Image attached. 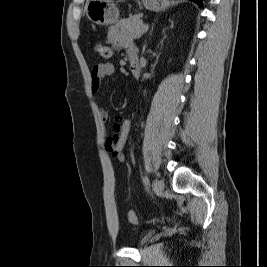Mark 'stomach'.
<instances>
[{
  "label": "stomach",
  "mask_w": 267,
  "mask_h": 267,
  "mask_svg": "<svg viewBox=\"0 0 267 267\" xmlns=\"http://www.w3.org/2000/svg\"><path fill=\"white\" fill-rule=\"evenodd\" d=\"M142 3L151 11L161 8V0H142ZM85 10L88 19L100 26L114 24L119 18V10L112 0H89Z\"/></svg>",
  "instance_id": "1"
}]
</instances>
